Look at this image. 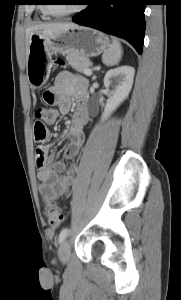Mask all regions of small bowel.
<instances>
[{
    "label": "small bowel",
    "instance_id": "obj_1",
    "mask_svg": "<svg viewBox=\"0 0 181 300\" xmlns=\"http://www.w3.org/2000/svg\"><path fill=\"white\" fill-rule=\"evenodd\" d=\"M55 97L53 104L58 106L61 114H66L75 101L76 109L70 121L68 129V144L64 150V158L74 160L80 153L84 142V127L87 125L90 115L88 112L87 81L85 78L68 72L59 73L53 85L48 89ZM45 103L47 101L44 98ZM43 158L38 163V179L41 181L39 192L44 201L48 202L67 195L74 183L77 171L76 163L67 167L62 160L55 159V153L49 145H44L36 151V159Z\"/></svg>",
    "mask_w": 181,
    "mask_h": 300
}]
</instances>
